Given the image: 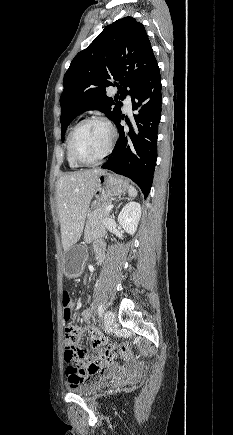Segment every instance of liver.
Masks as SVG:
<instances>
[{"label":"liver","mask_w":233,"mask_h":435,"mask_svg":"<svg viewBox=\"0 0 233 435\" xmlns=\"http://www.w3.org/2000/svg\"><path fill=\"white\" fill-rule=\"evenodd\" d=\"M103 172L101 169L77 171L58 180L56 197L64 250L80 239L97 177Z\"/></svg>","instance_id":"obj_1"}]
</instances>
